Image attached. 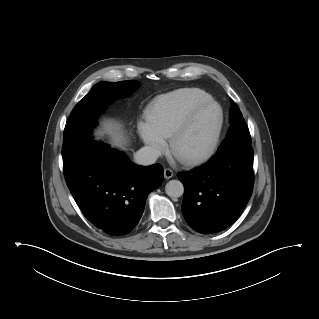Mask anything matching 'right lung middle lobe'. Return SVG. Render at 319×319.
<instances>
[{
    "label": "right lung middle lobe",
    "instance_id": "1",
    "mask_svg": "<svg viewBox=\"0 0 319 319\" xmlns=\"http://www.w3.org/2000/svg\"><path fill=\"white\" fill-rule=\"evenodd\" d=\"M138 86L135 80L100 82L74 107L66 123L62 157L69 158L74 150L90 137L99 111L114 97L126 95Z\"/></svg>",
    "mask_w": 319,
    "mask_h": 319
}]
</instances>
